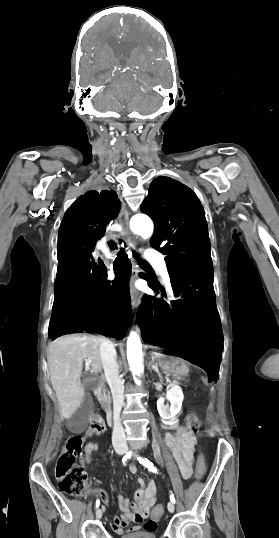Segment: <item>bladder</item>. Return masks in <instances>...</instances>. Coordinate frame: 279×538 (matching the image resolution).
I'll return each instance as SVG.
<instances>
[{
	"label": "bladder",
	"instance_id": "1",
	"mask_svg": "<svg viewBox=\"0 0 279 538\" xmlns=\"http://www.w3.org/2000/svg\"><path fill=\"white\" fill-rule=\"evenodd\" d=\"M122 538H156L155 532H123Z\"/></svg>",
	"mask_w": 279,
	"mask_h": 538
}]
</instances>
